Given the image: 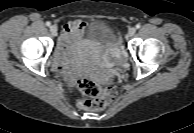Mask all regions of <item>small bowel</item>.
<instances>
[{
	"label": "small bowel",
	"mask_w": 194,
	"mask_h": 133,
	"mask_svg": "<svg viewBox=\"0 0 194 133\" xmlns=\"http://www.w3.org/2000/svg\"><path fill=\"white\" fill-rule=\"evenodd\" d=\"M86 28L87 23L82 20L70 21L64 25L59 39V46L54 60V65L57 71L69 82L72 81V76L65 71L69 50L72 44L82 36Z\"/></svg>",
	"instance_id": "c3829d8e"
}]
</instances>
